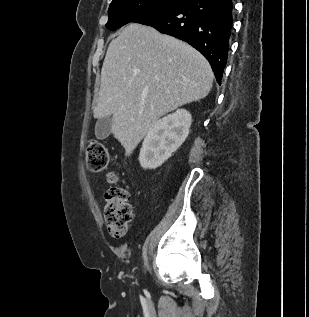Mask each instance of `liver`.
<instances>
[{
  "instance_id": "6515ba94",
  "label": "liver",
  "mask_w": 309,
  "mask_h": 317,
  "mask_svg": "<svg viewBox=\"0 0 309 317\" xmlns=\"http://www.w3.org/2000/svg\"><path fill=\"white\" fill-rule=\"evenodd\" d=\"M213 77L187 43L130 23L108 46L94 118L112 116L111 132L130 156L161 116L205 98Z\"/></svg>"
}]
</instances>
